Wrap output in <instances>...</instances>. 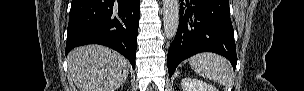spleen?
I'll list each match as a JSON object with an SVG mask.
<instances>
[{
    "label": "spleen",
    "mask_w": 304,
    "mask_h": 91,
    "mask_svg": "<svg viewBox=\"0 0 304 91\" xmlns=\"http://www.w3.org/2000/svg\"><path fill=\"white\" fill-rule=\"evenodd\" d=\"M192 69L203 78L213 80L221 84H228L231 79V65L214 53H200L189 60Z\"/></svg>",
    "instance_id": "spleen-1"
}]
</instances>
